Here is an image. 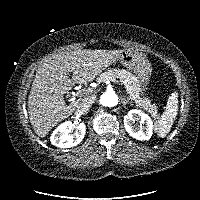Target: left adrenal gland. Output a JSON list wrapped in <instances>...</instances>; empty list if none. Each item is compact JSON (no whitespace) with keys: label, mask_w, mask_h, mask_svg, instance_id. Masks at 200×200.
I'll use <instances>...</instances> for the list:
<instances>
[{"label":"left adrenal gland","mask_w":200,"mask_h":200,"mask_svg":"<svg viewBox=\"0 0 200 200\" xmlns=\"http://www.w3.org/2000/svg\"><path fill=\"white\" fill-rule=\"evenodd\" d=\"M122 104L125 106L126 104H130V105H133L131 101H129L128 99L126 98H122Z\"/></svg>","instance_id":"obj_1"}]
</instances>
